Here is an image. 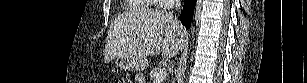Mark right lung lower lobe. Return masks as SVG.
Here are the masks:
<instances>
[{"label":"right lung lower lobe","instance_id":"1","mask_svg":"<svg viewBox=\"0 0 307 83\" xmlns=\"http://www.w3.org/2000/svg\"><path fill=\"white\" fill-rule=\"evenodd\" d=\"M195 3L196 0H185L183 11L181 12V22L187 29L191 26Z\"/></svg>","mask_w":307,"mask_h":83}]
</instances>
